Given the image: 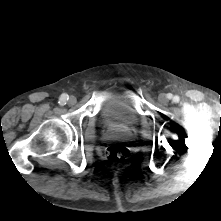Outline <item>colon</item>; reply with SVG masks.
Instances as JSON below:
<instances>
[{"instance_id":"5ec220e1","label":"colon","mask_w":221,"mask_h":221,"mask_svg":"<svg viewBox=\"0 0 221 221\" xmlns=\"http://www.w3.org/2000/svg\"><path fill=\"white\" fill-rule=\"evenodd\" d=\"M129 154V149L121 144H112L105 151L106 159L112 164L124 162Z\"/></svg>"}]
</instances>
